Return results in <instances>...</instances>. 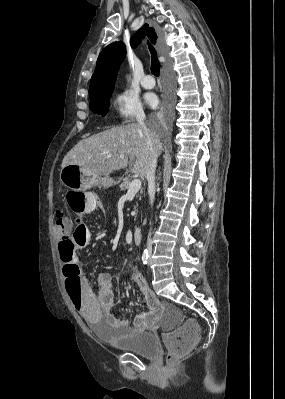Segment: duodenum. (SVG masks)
Here are the masks:
<instances>
[{
	"instance_id": "duodenum-1",
	"label": "duodenum",
	"mask_w": 285,
	"mask_h": 399,
	"mask_svg": "<svg viewBox=\"0 0 285 399\" xmlns=\"http://www.w3.org/2000/svg\"><path fill=\"white\" fill-rule=\"evenodd\" d=\"M144 238V232L140 228H136L133 232V240L136 244H140Z\"/></svg>"
}]
</instances>
